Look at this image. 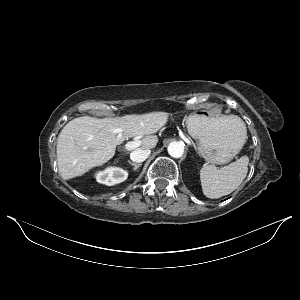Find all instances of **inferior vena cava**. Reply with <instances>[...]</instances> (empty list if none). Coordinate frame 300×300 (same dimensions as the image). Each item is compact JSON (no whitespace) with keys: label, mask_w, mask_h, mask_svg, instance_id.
<instances>
[{"label":"inferior vena cava","mask_w":300,"mask_h":300,"mask_svg":"<svg viewBox=\"0 0 300 300\" xmlns=\"http://www.w3.org/2000/svg\"><path fill=\"white\" fill-rule=\"evenodd\" d=\"M151 151L148 148H138L131 152L130 159L133 162L140 163L145 161L150 155Z\"/></svg>","instance_id":"inferior-vena-cava-1"}]
</instances>
